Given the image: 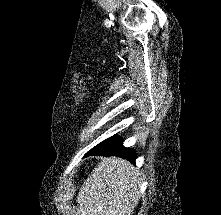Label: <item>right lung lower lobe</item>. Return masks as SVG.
<instances>
[{
	"instance_id": "obj_1",
	"label": "right lung lower lobe",
	"mask_w": 221,
	"mask_h": 215,
	"mask_svg": "<svg viewBox=\"0 0 221 215\" xmlns=\"http://www.w3.org/2000/svg\"><path fill=\"white\" fill-rule=\"evenodd\" d=\"M87 155H99V156H118L128 161L135 163L136 154L130 148L122 146V140L118 137H111L101 142L90 151Z\"/></svg>"
}]
</instances>
